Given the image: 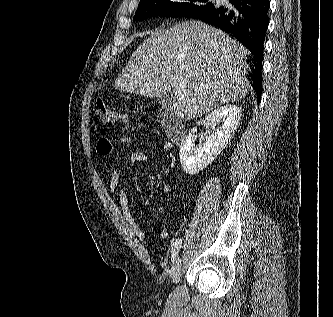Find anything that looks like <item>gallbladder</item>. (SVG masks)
Returning a JSON list of instances; mask_svg holds the SVG:
<instances>
[{
  "label": "gallbladder",
  "mask_w": 333,
  "mask_h": 317,
  "mask_svg": "<svg viewBox=\"0 0 333 317\" xmlns=\"http://www.w3.org/2000/svg\"><path fill=\"white\" fill-rule=\"evenodd\" d=\"M158 102L162 107L167 108L170 107L172 104V98L169 96H160L158 98Z\"/></svg>",
  "instance_id": "obj_1"
}]
</instances>
